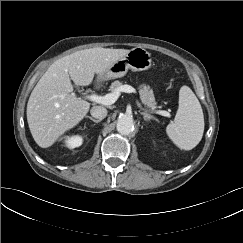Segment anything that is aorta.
Masks as SVG:
<instances>
[{
    "label": "aorta",
    "instance_id": "1",
    "mask_svg": "<svg viewBox=\"0 0 243 243\" xmlns=\"http://www.w3.org/2000/svg\"><path fill=\"white\" fill-rule=\"evenodd\" d=\"M116 128L117 131L123 135H128L129 133H131L134 129V121L132 116L121 115L118 118Z\"/></svg>",
    "mask_w": 243,
    "mask_h": 243
}]
</instances>
